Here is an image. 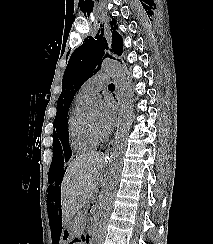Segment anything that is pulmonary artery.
<instances>
[{
	"label": "pulmonary artery",
	"mask_w": 213,
	"mask_h": 244,
	"mask_svg": "<svg viewBox=\"0 0 213 244\" xmlns=\"http://www.w3.org/2000/svg\"><path fill=\"white\" fill-rule=\"evenodd\" d=\"M110 82L109 75L106 73H97L90 77L78 91V95L82 98L89 99L98 93L101 89L108 86Z\"/></svg>",
	"instance_id": "obj_1"
}]
</instances>
